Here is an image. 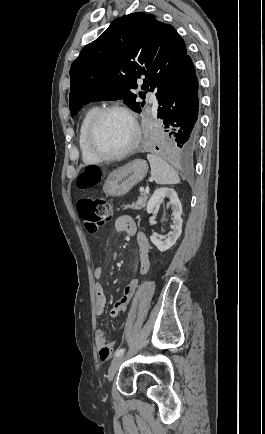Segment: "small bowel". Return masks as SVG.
I'll return each instance as SVG.
<instances>
[{
  "label": "small bowel",
  "instance_id": "1",
  "mask_svg": "<svg viewBox=\"0 0 265 434\" xmlns=\"http://www.w3.org/2000/svg\"><path fill=\"white\" fill-rule=\"evenodd\" d=\"M115 228L119 232H124L137 240L139 248V259H140V274L145 275L150 269V244L146 235L139 230L136 222L129 215H121L117 218L115 222ZM103 270L98 267L95 270V276L97 279L102 277ZM139 286L138 278L131 280L124 288L122 296L114 304L110 311V317L116 318L119 314L124 313L127 310L129 302L132 300L135 292ZM95 291V312L100 316L106 307L107 297L105 293L104 286L101 282H97L94 287ZM95 345L99 349V343L101 340H107L105 332L102 329H97L95 331Z\"/></svg>",
  "mask_w": 265,
  "mask_h": 434
}]
</instances>
